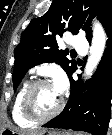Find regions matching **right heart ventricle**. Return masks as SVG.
Returning <instances> with one entry per match:
<instances>
[{"mask_svg": "<svg viewBox=\"0 0 112 135\" xmlns=\"http://www.w3.org/2000/svg\"><path fill=\"white\" fill-rule=\"evenodd\" d=\"M30 83H31L30 81H25L22 84V86L18 90V92L13 100V103L11 105L12 120L14 121V123L16 125H18L19 127H22V128H29V127L33 126L35 123L34 121H31L28 118H26L22 111V97H23L25 90L30 85Z\"/></svg>", "mask_w": 112, "mask_h": 135, "instance_id": "e07e8e85", "label": "right heart ventricle"}]
</instances>
